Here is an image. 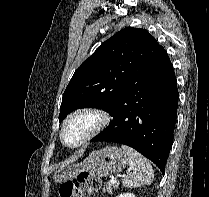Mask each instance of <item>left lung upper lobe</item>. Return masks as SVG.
I'll list each match as a JSON object with an SVG mask.
<instances>
[{"label":"left lung upper lobe","mask_w":209,"mask_h":197,"mask_svg":"<svg viewBox=\"0 0 209 197\" xmlns=\"http://www.w3.org/2000/svg\"><path fill=\"white\" fill-rule=\"evenodd\" d=\"M162 50L144 29L128 27L117 32L75 71L63 94L59 120L84 107L111 113Z\"/></svg>","instance_id":"left-lung-upper-lobe-1"}]
</instances>
